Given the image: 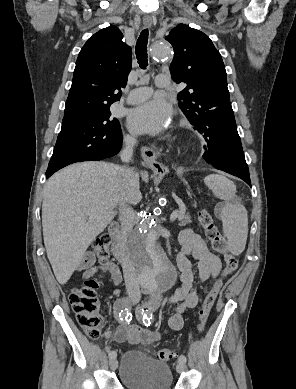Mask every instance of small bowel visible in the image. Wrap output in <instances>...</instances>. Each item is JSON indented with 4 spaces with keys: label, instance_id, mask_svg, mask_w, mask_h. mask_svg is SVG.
<instances>
[{
    "label": "small bowel",
    "instance_id": "1",
    "mask_svg": "<svg viewBox=\"0 0 296 389\" xmlns=\"http://www.w3.org/2000/svg\"><path fill=\"white\" fill-rule=\"evenodd\" d=\"M179 241L182 249L177 255L176 262L180 271L181 285L168 298L170 304L177 305L176 312L168 321L169 329L174 331L183 327V312L198 305L202 295L221 269L220 259L209 251L202 237L192 229L183 230ZM190 257L197 261V280H195ZM102 268L109 272L114 285L122 282V274L116 264L109 262ZM98 269L95 265V256L91 251L86 252L77 265V271L82 273L84 279L94 276ZM159 337L157 331L136 324L123 323L116 329L113 341L149 344L157 341Z\"/></svg>",
    "mask_w": 296,
    "mask_h": 389
}]
</instances>
